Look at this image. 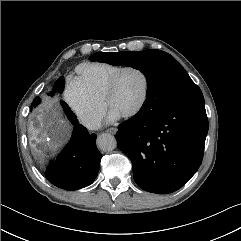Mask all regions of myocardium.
Returning <instances> with one entry per match:
<instances>
[{
  "instance_id": "1",
  "label": "myocardium",
  "mask_w": 241,
  "mask_h": 241,
  "mask_svg": "<svg viewBox=\"0 0 241 241\" xmlns=\"http://www.w3.org/2000/svg\"><path fill=\"white\" fill-rule=\"evenodd\" d=\"M127 70H137L142 74V76L144 78V91H143V95H142L141 100L139 101L138 105L130 112L122 115V117L126 118V119L132 118V117L138 115L143 110L144 106L147 103V100L149 97V92H150V79H149L147 72L139 66L126 65V66H123L122 68H120L111 77L110 81L108 82V85H107L105 93H104V100H103L105 107L109 106V100L116 89V85H117V82H118L120 76Z\"/></svg>"
}]
</instances>
